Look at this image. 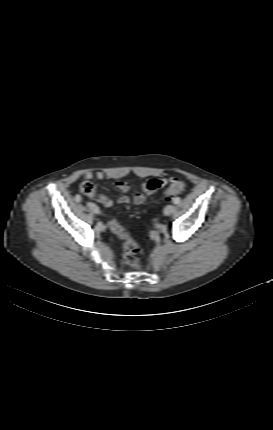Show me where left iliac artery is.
I'll return each instance as SVG.
<instances>
[{
    "label": "left iliac artery",
    "instance_id": "1",
    "mask_svg": "<svg viewBox=\"0 0 273 430\" xmlns=\"http://www.w3.org/2000/svg\"><path fill=\"white\" fill-rule=\"evenodd\" d=\"M180 202H181L180 198H174L173 199L174 204H179Z\"/></svg>",
    "mask_w": 273,
    "mask_h": 430
}]
</instances>
